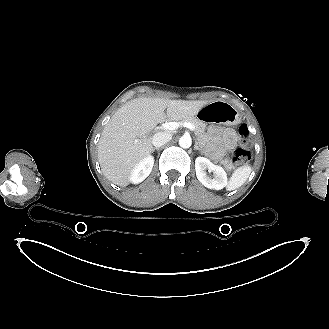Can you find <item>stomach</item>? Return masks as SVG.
Wrapping results in <instances>:
<instances>
[{
  "label": "stomach",
  "instance_id": "1",
  "mask_svg": "<svg viewBox=\"0 0 329 329\" xmlns=\"http://www.w3.org/2000/svg\"><path fill=\"white\" fill-rule=\"evenodd\" d=\"M204 123L223 122L226 125H237L240 122L238 111L222 100H215L205 105L196 115Z\"/></svg>",
  "mask_w": 329,
  "mask_h": 329
}]
</instances>
